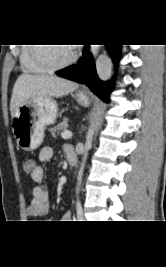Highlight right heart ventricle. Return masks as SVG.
Instances as JSON below:
<instances>
[{
  "label": "right heart ventricle",
  "mask_w": 166,
  "mask_h": 267,
  "mask_svg": "<svg viewBox=\"0 0 166 267\" xmlns=\"http://www.w3.org/2000/svg\"><path fill=\"white\" fill-rule=\"evenodd\" d=\"M33 44L23 46L20 50L19 61L23 70L30 73H45L48 71L45 67L38 64L33 56Z\"/></svg>",
  "instance_id": "obj_1"
}]
</instances>
